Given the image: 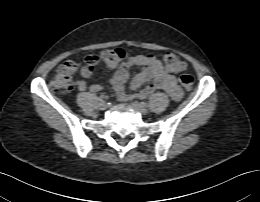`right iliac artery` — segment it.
Segmentation results:
<instances>
[{"mask_svg":"<svg viewBox=\"0 0 260 202\" xmlns=\"http://www.w3.org/2000/svg\"><path fill=\"white\" fill-rule=\"evenodd\" d=\"M104 99V96H100L99 100L102 101Z\"/></svg>","mask_w":260,"mask_h":202,"instance_id":"right-iliac-artery-1","label":"right iliac artery"}]
</instances>
